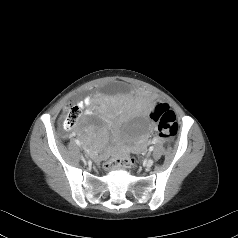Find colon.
<instances>
[{"label":"colon","instance_id":"obj_1","mask_svg":"<svg viewBox=\"0 0 238 238\" xmlns=\"http://www.w3.org/2000/svg\"><path fill=\"white\" fill-rule=\"evenodd\" d=\"M81 114L82 112L78 105L69 103L62 118L64 127L67 129L73 128L80 119ZM150 115L157 124L158 139L167 140L177 133L178 124L176 116L167 103H156ZM133 163L134 159L129 155L114 157L105 164V169L112 170L117 167H130Z\"/></svg>","mask_w":238,"mask_h":238}]
</instances>
